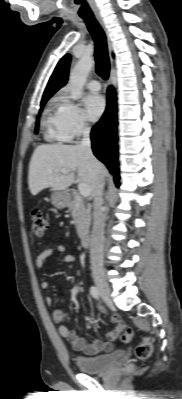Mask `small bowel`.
I'll list each match as a JSON object with an SVG mask.
<instances>
[{"instance_id":"small-bowel-1","label":"small bowel","mask_w":182,"mask_h":399,"mask_svg":"<svg viewBox=\"0 0 182 399\" xmlns=\"http://www.w3.org/2000/svg\"><path fill=\"white\" fill-rule=\"evenodd\" d=\"M61 256V260L64 263H75L76 258L73 255L65 254V247L63 245H58L52 248H48L43 250L36 259V266L38 268H43L45 262L54 257ZM49 287V283L47 281L41 282V288L47 289ZM46 304L51 306L53 304V299L50 296L45 298ZM67 317V312L63 308H56L52 311V318L57 323H62ZM111 322H113L116 327L108 332L107 340L105 342H101L99 340H95L92 343H86L85 340L78 335L75 331L70 330L66 325L61 324L59 326L60 335L65 338L69 344L77 351H80L88 356L96 355L100 352H108L113 348V342L117 340L121 333V328L123 326V322L119 315L112 314L110 316Z\"/></svg>"}]
</instances>
